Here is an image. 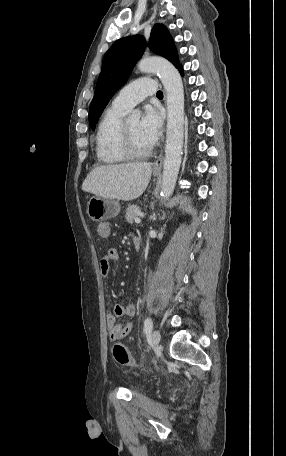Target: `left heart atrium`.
I'll return each mask as SVG.
<instances>
[{
    "label": "left heart atrium",
    "mask_w": 286,
    "mask_h": 456,
    "mask_svg": "<svg viewBox=\"0 0 286 456\" xmlns=\"http://www.w3.org/2000/svg\"><path fill=\"white\" fill-rule=\"evenodd\" d=\"M162 115L160 111L152 106H146L143 112V117L140 121L141 133L154 144L162 131Z\"/></svg>",
    "instance_id": "left-heart-atrium-1"
}]
</instances>
